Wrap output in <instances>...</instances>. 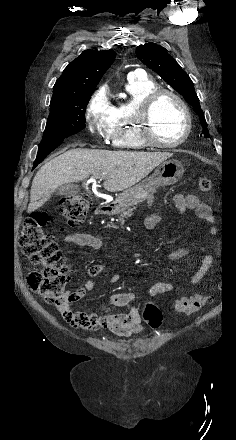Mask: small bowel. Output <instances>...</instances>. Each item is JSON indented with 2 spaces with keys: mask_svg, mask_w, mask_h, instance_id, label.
Instances as JSON below:
<instances>
[{
  "mask_svg": "<svg viewBox=\"0 0 236 440\" xmlns=\"http://www.w3.org/2000/svg\"><path fill=\"white\" fill-rule=\"evenodd\" d=\"M173 202L177 209L181 212L186 210H193L197 216L213 225L215 220L211 213L210 207L201 202L197 196L193 194L181 195L177 194L173 197ZM160 220V214L155 213L145 219V224L148 228H153ZM64 241L72 243L77 246L87 247L94 250L100 249L102 240L95 235L83 232H75L64 237ZM188 252L187 246H182L176 249L169 257V260H176L185 256ZM212 259L206 256L199 267L198 271L191 278V284L199 283L208 273L211 266ZM103 271V266L99 264L92 265L88 268L87 274L93 278ZM121 279L120 274H114L110 278L111 283H117ZM175 286L171 282H156L149 288V295L156 296L174 290ZM95 289V282L92 279L86 280L77 290L68 292L71 300V305L82 299L86 292H91ZM135 295L132 292H118L113 294L107 303L100 307V314L87 313L80 311H73L70 308L71 316L74 319H86L88 321H71V330H94V328L105 329L117 336L129 337L143 331L141 324V315L139 310L134 305ZM129 307L126 313H114L113 307Z\"/></svg>",
  "mask_w": 236,
  "mask_h": 440,
  "instance_id": "1",
  "label": "small bowel"
}]
</instances>
